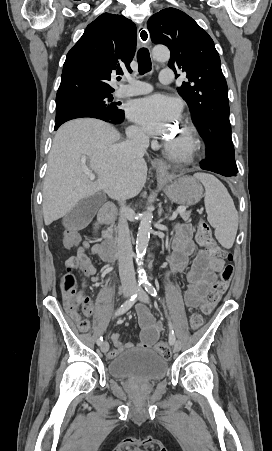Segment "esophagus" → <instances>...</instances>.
I'll return each mask as SVG.
<instances>
[{
	"label": "esophagus",
	"mask_w": 272,
	"mask_h": 451,
	"mask_svg": "<svg viewBox=\"0 0 272 451\" xmlns=\"http://www.w3.org/2000/svg\"><path fill=\"white\" fill-rule=\"evenodd\" d=\"M138 35H139V40L142 43H148L150 41L149 33L146 30V28H144L143 26L139 27ZM153 163L156 166L157 171L161 174L162 177H166L168 175L170 166L164 160H161L160 158H155L153 160Z\"/></svg>",
	"instance_id": "1"
}]
</instances>
